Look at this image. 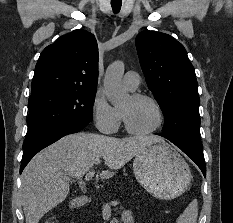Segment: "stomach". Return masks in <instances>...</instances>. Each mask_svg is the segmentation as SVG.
Wrapping results in <instances>:
<instances>
[{
	"label": "stomach",
	"instance_id": "obj_1",
	"mask_svg": "<svg viewBox=\"0 0 233 223\" xmlns=\"http://www.w3.org/2000/svg\"><path fill=\"white\" fill-rule=\"evenodd\" d=\"M133 173L140 185L158 199H174L191 183V171L180 153L165 141H156L134 157Z\"/></svg>",
	"mask_w": 233,
	"mask_h": 223
}]
</instances>
